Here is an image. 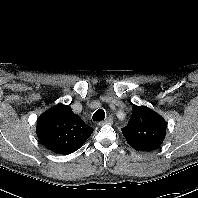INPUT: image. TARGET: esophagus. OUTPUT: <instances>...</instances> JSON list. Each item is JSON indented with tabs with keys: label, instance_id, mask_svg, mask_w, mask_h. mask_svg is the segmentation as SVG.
Returning a JSON list of instances; mask_svg holds the SVG:
<instances>
[{
	"label": "esophagus",
	"instance_id": "1",
	"mask_svg": "<svg viewBox=\"0 0 198 198\" xmlns=\"http://www.w3.org/2000/svg\"><path fill=\"white\" fill-rule=\"evenodd\" d=\"M105 124H110V125L113 124V118L112 117H108L106 120L98 122L99 126H103Z\"/></svg>",
	"mask_w": 198,
	"mask_h": 198
}]
</instances>
